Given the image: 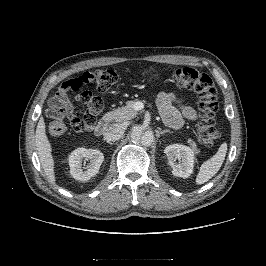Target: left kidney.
Returning <instances> with one entry per match:
<instances>
[{
	"label": "left kidney",
	"mask_w": 266,
	"mask_h": 266,
	"mask_svg": "<svg viewBox=\"0 0 266 266\" xmlns=\"http://www.w3.org/2000/svg\"><path fill=\"white\" fill-rule=\"evenodd\" d=\"M164 153L174 176L187 178L192 174L194 166L193 149L182 144H173L167 146Z\"/></svg>",
	"instance_id": "obj_1"
}]
</instances>
